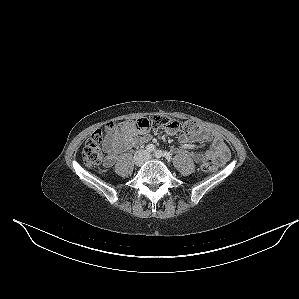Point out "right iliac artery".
Instances as JSON below:
<instances>
[{"mask_svg": "<svg viewBox=\"0 0 299 299\" xmlns=\"http://www.w3.org/2000/svg\"><path fill=\"white\" fill-rule=\"evenodd\" d=\"M155 149H156V147H155L153 144H149V145H147V147H146V150H147L148 152H153V151H155Z\"/></svg>", "mask_w": 299, "mask_h": 299, "instance_id": "1", "label": "right iliac artery"}]
</instances>
